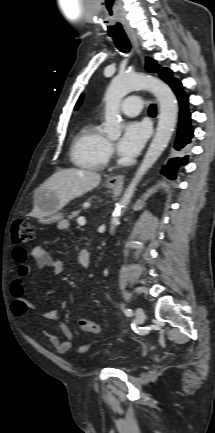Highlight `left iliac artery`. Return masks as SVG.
Listing matches in <instances>:
<instances>
[{
  "label": "left iliac artery",
  "instance_id": "44dca946",
  "mask_svg": "<svg viewBox=\"0 0 215 433\" xmlns=\"http://www.w3.org/2000/svg\"><path fill=\"white\" fill-rule=\"evenodd\" d=\"M125 314L127 315V316H132L133 315V312H132V310L131 309H125Z\"/></svg>",
  "mask_w": 215,
  "mask_h": 433
}]
</instances>
